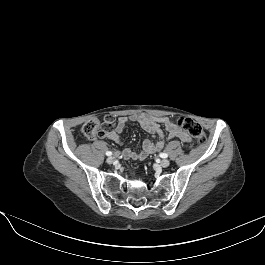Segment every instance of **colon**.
Returning <instances> with one entry per match:
<instances>
[{
  "label": "colon",
  "instance_id": "1",
  "mask_svg": "<svg viewBox=\"0 0 265 265\" xmlns=\"http://www.w3.org/2000/svg\"><path fill=\"white\" fill-rule=\"evenodd\" d=\"M176 125L185 130L198 144L206 141V134L202 127L193 119L180 117ZM113 121L111 117H106L103 121L92 119L87 121L82 128L83 134L89 138L104 137L112 128Z\"/></svg>",
  "mask_w": 265,
  "mask_h": 265
}]
</instances>
